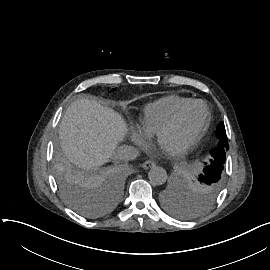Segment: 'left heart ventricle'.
I'll list each match as a JSON object with an SVG mask.
<instances>
[{
    "label": "left heart ventricle",
    "mask_w": 270,
    "mask_h": 270,
    "mask_svg": "<svg viewBox=\"0 0 270 270\" xmlns=\"http://www.w3.org/2000/svg\"><path fill=\"white\" fill-rule=\"evenodd\" d=\"M205 110L202 105L194 106L184 117L181 125L161 136L163 143L177 149L181 147L204 123Z\"/></svg>",
    "instance_id": "left-heart-ventricle-1"
}]
</instances>
